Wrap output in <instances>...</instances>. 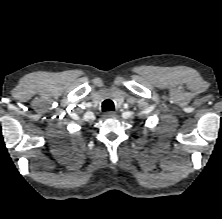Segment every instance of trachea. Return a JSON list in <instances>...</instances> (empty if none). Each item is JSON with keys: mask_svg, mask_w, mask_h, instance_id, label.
I'll return each mask as SVG.
<instances>
[{"mask_svg": "<svg viewBox=\"0 0 222 219\" xmlns=\"http://www.w3.org/2000/svg\"><path fill=\"white\" fill-rule=\"evenodd\" d=\"M114 108V103L112 100L107 99L102 103V110L105 111H113Z\"/></svg>", "mask_w": 222, "mask_h": 219, "instance_id": "trachea-1", "label": "trachea"}]
</instances>
